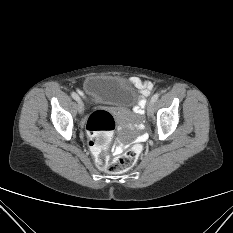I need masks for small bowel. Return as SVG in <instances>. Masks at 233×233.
<instances>
[{
	"label": "small bowel",
	"instance_id": "1",
	"mask_svg": "<svg viewBox=\"0 0 233 233\" xmlns=\"http://www.w3.org/2000/svg\"><path fill=\"white\" fill-rule=\"evenodd\" d=\"M131 82L135 85V87L140 91L142 97H146L150 94L153 85L151 82L149 81H143L138 77H132ZM144 101L142 100L140 102V106H143ZM124 145L122 143H118L114 148H113V152L115 154H120L122 153V151L124 150Z\"/></svg>",
	"mask_w": 233,
	"mask_h": 233
}]
</instances>
